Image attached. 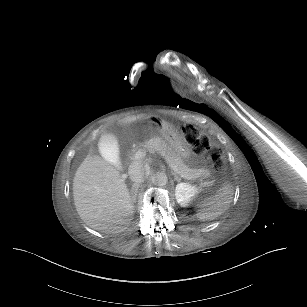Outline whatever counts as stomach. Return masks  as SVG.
<instances>
[{"label":"stomach","mask_w":307,"mask_h":307,"mask_svg":"<svg viewBox=\"0 0 307 307\" xmlns=\"http://www.w3.org/2000/svg\"><path fill=\"white\" fill-rule=\"evenodd\" d=\"M159 132L180 158L187 159L189 157L190 150L186 140L173 125L161 121Z\"/></svg>","instance_id":"stomach-1"}]
</instances>
